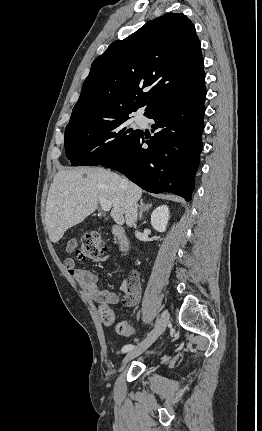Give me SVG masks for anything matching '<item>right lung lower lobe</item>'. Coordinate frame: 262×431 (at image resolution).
Instances as JSON below:
<instances>
[{
  "instance_id": "right-lung-lower-lobe-1",
  "label": "right lung lower lobe",
  "mask_w": 262,
  "mask_h": 431,
  "mask_svg": "<svg viewBox=\"0 0 262 431\" xmlns=\"http://www.w3.org/2000/svg\"><path fill=\"white\" fill-rule=\"evenodd\" d=\"M205 99L203 86L184 101L154 110L147 117L155 120V135L149 138L140 132L113 159L100 165L123 173L146 191L171 192L190 201L202 150Z\"/></svg>"
}]
</instances>
